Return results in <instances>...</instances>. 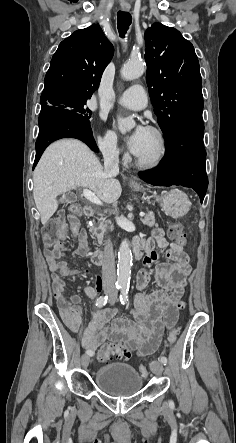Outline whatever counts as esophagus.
Wrapping results in <instances>:
<instances>
[{
	"label": "esophagus",
	"mask_w": 236,
	"mask_h": 443,
	"mask_svg": "<svg viewBox=\"0 0 236 443\" xmlns=\"http://www.w3.org/2000/svg\"><path fill=\"white\" fill-rule=\"evenodd\" d=\"M124 11H129L130 10V7H123L122 8ZM131 182H134L133 180H131Z\"/></svg>",
	"instance_id": "esophagus-1"
}]
</instances>
